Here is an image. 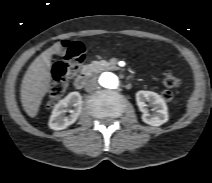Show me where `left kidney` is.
I'll return each instance as SVG.
<instances>
[{"mask_svg": "<svg viewBox=\"0 0 212 183\" xmlns=\"http://www.w3.org/2000/svg\"><path fill=\"white\" fill-rule=\"evenodd\" d=\"M136 102L139 110L143 113L142 120L151 126H161L168 121V108L165 100L155 92L152 91H138L136 93ZM146 102L153 106L156 114L150 115L146 108Z\"/></svg>", "mask_w": 212, "mask_h": 183, "instance_id": "left-kidney-1", "label": "left kidney"}]
</instances>
